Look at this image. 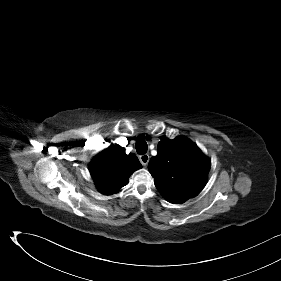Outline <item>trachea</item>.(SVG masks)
Masks as SVG:
<instances>
[{
    "label": "trachea",
    "mask_w": 281,
    "mask_h": 281,
    "mask_svg": "<svg viewBox=\"0 0 281 281\" xmlns=\"http://www.w3.org/2000/svg\"><path fill=\"white\" fill-rule=\"evenodd\" d=\"M136 151L139 155H143L147 152V149H148V146H147V143L145 140L143 139H139L137 142H136Z\"/></svg>",
    "instance_id": "trachea-1"
}]
</instances>
